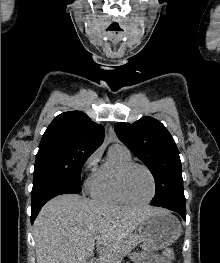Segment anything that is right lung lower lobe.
<instances>
[{
  "instance_id": "98d812e1",
  "label": "right lung lower lobe",
  "mask_w": 220,
  "mask_h": 263,
  "mask_svg": "<svg viewBox=\"0 0 220 263\" xmlns=\"http://www.w3.org/2000/svg\"><path fill=\"white\" fill-rule=\"evenodd\" d=\"M81 191V187L63 183H45L33 188L31 192V224H33L41 207L53 197L66 193H79Z\"/></svg>"
}]
</instances>
